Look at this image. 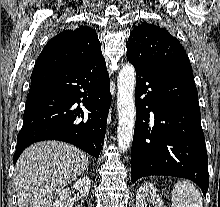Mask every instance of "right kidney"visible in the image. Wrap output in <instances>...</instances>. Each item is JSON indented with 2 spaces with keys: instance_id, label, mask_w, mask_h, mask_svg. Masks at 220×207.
Masks as SVG:
<instances>
[{
  "instance_id": "right-kidney-1",
  "label": "right kidney",
  "mask_w": 220,
  "mask_h": 207,
  "mask_svg": "<svg viewBox=\"0 0 220 207\" xmlns=\"http://www.w3.org/2000/svg\"><path fill=\"white\" fill-rule=\"evenodd\" d=\"M91 185V180L88 176H84L83 178H79L73 184V189L77 190L82 197H85L89 194ZM73 201L71 198V190L70 188H65L59 192L55 202L53 203V207H72Z\"/></svg>"
}]
</instances>
